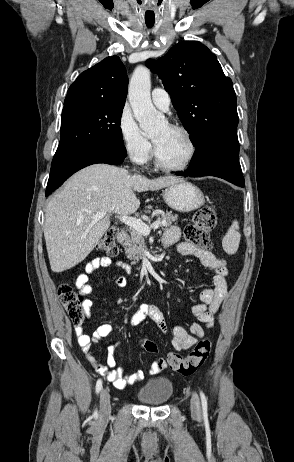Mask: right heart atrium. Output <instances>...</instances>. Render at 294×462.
<instances>
[{
    "mask_svg": "<svg viewBox=\"0 0 294 462\" xmlns=\"http://www.w3.org/2000/svg\"><path fill=\"white\" fill-rule=\"evenodd\" d=\"M119 136L125 152L138 164H145L151 156L150 140L139 128L129 107H123L118 118Z\"/></svg>",
    "mask_w": 294,
    "mask_h": 462,
    "instance_id": "1",
    "label": "right heart atrium"
}]
</instances>
